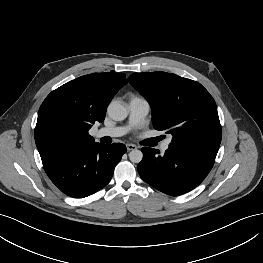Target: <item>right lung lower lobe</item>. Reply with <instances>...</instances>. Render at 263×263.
Returning a JSON list of instances; mask_svg holds the SVG:
<instances>
[{"instance_id":"right-lung-lower-lobe-1","label":"right lung lower lobe","mask_w":263,"mask_h":263,"mask_svg":"<svg viewBox=\"0 0 263 263\" xmlns=\"http://www.w3.org/2000/svg\"><path fill=\"white\" fill-rule=\"evenodd\" d=\"M126 152L121 143L89 142L69 148L44 170L51 181L66 195L84 198L106 186L115 166Z\"/></svg>"}]
</instances>
